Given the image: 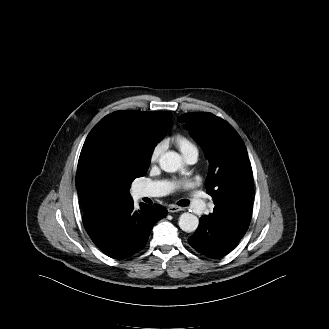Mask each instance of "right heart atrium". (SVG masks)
Masks as SVG:
<instances>
[{"mask_svg": "<svg viewBox=\"0 0 329 329\" xmlns=\"http://www.w3.org/2000/svg\"><path fill=\"white\" fill-rule=\"evenodd\" d=\"M164 150V143L163 142H159L157 143L151 150V153H150V161L153 163V162H156L160 155L162 154Z\"/></svg>", "mask_w": 329, "mask_h": 329, "instance_id": "1", "label": "right heart atrium"}]
</instances>
